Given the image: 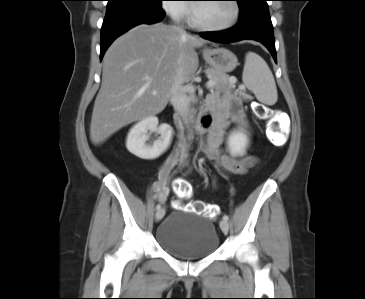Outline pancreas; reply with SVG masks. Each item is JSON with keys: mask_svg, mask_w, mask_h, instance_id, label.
Masks as SVG:
<instances>
[{"mask_svg": "<svg viewBox=\"0 0 365 299\" xmlns=\"http://www.w3.org/2000/svg\"><path fill=\"white\" fill-rule=\"evenodd\" d=\"M205 73L209 78L215 80L216 84L214 88L217 91L231 92V90L233 89V85L230 83V78L227 74L216 71L214 69H207ZM233 97L238 100L250 98L249 95H247L245 92L242 91L234 92ZM190 100L192 102H195V97L191 96ZM194 113L195 109L194 108L190 109L189 116H192Z\"/></svg>", "mask_w": 365, "mask_h": 299, "instance_id": "1", "label": "pancreas"}]
</instances>
